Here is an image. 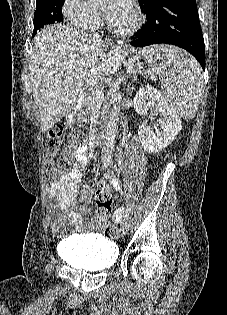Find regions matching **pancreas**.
<instances>
[{"mask_svg": "<svg viewBox=\"0 0 227 315\" xmlns=\"http://www.w3.org/2000/svg\"><path fill=\"white\" fill-rule=\"evenodd\" d=\"M98 88H92L87 97V101L84 104V107L79 110V114L77 115L78 120L80 122H89L92 118V114H95L100 110L101 104L104 98L99 99L94 96V92Z\"/></svg>", "mask_w": 227, "mask_h": 315, "instance_id": "1", "label": "pancreas"}]
</instances>
